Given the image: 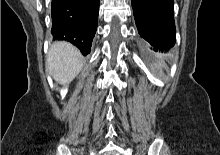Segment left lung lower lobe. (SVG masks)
Returning <instances> with one entry per match:
<instances>
[{
	"instance_id": "left-lung-lower-lobe-1",
	"label": "left lung lower lobe",
	"mask_w": 220,
	"mask_h": 155,
	"mask_svg": "<svg viewBox=\"0 0 220 155\" xmlns=\"http://www.w3.org/2000/svg\"><path fill=\"white\" fill-rule=\"evenodd\" d=\"M135 23L153 50L168 51L176 41L173 0H131Z\"/></svg>"
}]
</instances>
